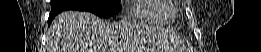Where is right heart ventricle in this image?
I'll use <instances>...</instances> for the list:
<instances>
[{
  "label": "right heart ventricle",
  "instance_id": "1",
  "mask_svg": "<svg viewBox=\"0 0 261 52\" xmlns=\"http://www.w3.org/2000/svg\"><path fill=\"white\" fill-rule=\"evenodd\" d=\"M130 11L131 20L147 23H167L174 17V11L166 0H138Z\"/></svg>",
  "mask_w": 261,
  "mask_h": 52
}]
</instances>
